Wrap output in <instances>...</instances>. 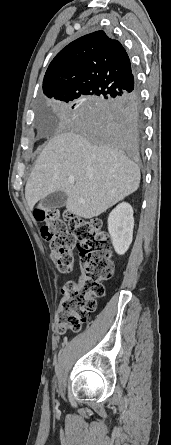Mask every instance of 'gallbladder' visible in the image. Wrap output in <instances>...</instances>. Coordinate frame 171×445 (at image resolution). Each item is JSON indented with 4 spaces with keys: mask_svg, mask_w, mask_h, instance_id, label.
Returning <instances> with one entry per match:
<instances>
[{
    "mask_svg": "<svg viewBox=\"0 0 171 445\" xmlns=\"http://www.w3.org/2000/svg\"><path fill=\"white\" fill-rule=\"evenodd\" d=\"M66 201V193L63 191H56L47 195L40 201V208L49 211L64 206Z\"/></svg>",
    "mask_w": 171,
    "mask_h": 445,
    "instance_id": "obj_1",
    "label": "gallbladder"
}]
</instances>
